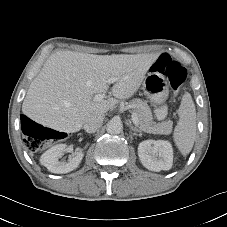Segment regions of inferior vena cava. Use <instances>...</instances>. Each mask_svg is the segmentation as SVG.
<instances>
[{
  "label": "inferior vena cava",
  "mask_w": 227,
  "mask_h": 227,
  "mask_svg": "<svg viewBox=\"0 0 227 227\" xmlns=\"http://www.w3.org/2000/svg\"><path fill=\"white\" fill-rule=\"evenodd\" d=\"M105 115L103 113H95L90 115L83 125L84 130L87 133L96 132L103 123Z\"/></svg>",
  "instance_id": "1"
}]
</instances>
